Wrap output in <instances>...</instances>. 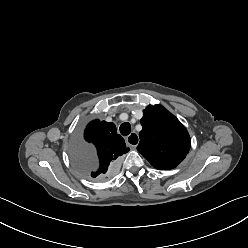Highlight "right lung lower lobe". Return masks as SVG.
I'll use <instances>...</instances> for the list:
<instances>
[{"instance_id":"obj_1","label":"right lung lower lobe","mask_w":248,"mask_h":248,"mask_svg":"<svg viewBox=\"0 0 248 248\" xmlns=\"http://www.w3.org/2000/svg\"><path fill=\"white\" fill-rule=\"evenodd\" d=\"M115 166H116V165H114V166L108 171L107 175H109L110 173H112V172L114 171ZM107 175H106V176H107Z\"/></svg>"}]
</instances>
